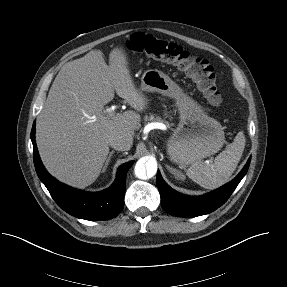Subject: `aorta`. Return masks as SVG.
<instances>
[{
  "instance_id": "obj_1",
  "label": "aorta",
  "mask_w": 287,
  "mask_h": 287,
  "mask_svg": "<svg viewBox=\"0 0 287 287\" xmlns=\"http://www.w3.org/2000/svg\"><path fill=\"white\" fill-rule=\"evenodd\" d=\"M157 172V162L154 158L140 159L134 168L135 176L140 179L153 177Z\"/></svg>"
}]
</instances>
